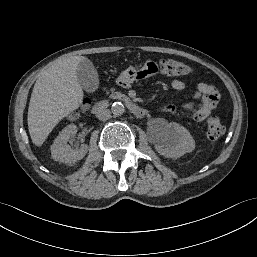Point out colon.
Here are the masks:
<instances>
[{
  "label": "colon",
  "instance_id": "1",
  "mask_svg": "<svg viewBox=\"0 0 257 257\" xmlns=\"http://www.w3.org/2000/svg\"><path fill=\"white\" fill-rule=\"evenodd\" d=\"M159 66V72L165 76L177 75L184 76L192 73V69L185 63L173 59H160L156 62ZM225 131L221 120L217 117H211L207 122V136L210 140L219 139Z\"/></svg>",
  "mask_w": 257,
  "mask_h": 257
}]
</instances>
